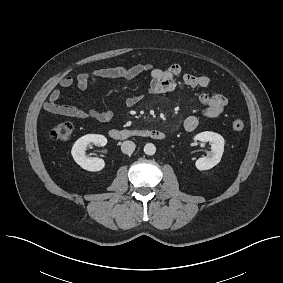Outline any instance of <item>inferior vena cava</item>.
Listing matches in <instances>:
<instances>
[{
	"instance_id": "inferior-vena-cava-1",
	"label": "inferior vena cava",
	"mask_w": 283,
	"mask_h": 283,
	"mask_svg": "<svg viewBox=\"0 0 283 283\" xmlns=\"http://www.w3.org/2000/svg\"><path fill=\"white\" fill-rule=\"evenodd\" d=\"M136 148V145L134 142L132 141H124L122 144H121V151L124 153V154H127V155H131L134 150Z\"/></svg>"
}]
</instances>
